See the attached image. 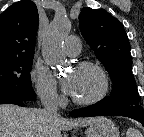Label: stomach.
I'll return each instance as SVG.
<instances>
[{
	"label": "stomach",
	"mask_w": 144,
	"mask_h": 137,
	"mask_svg": "<svg viewBox=\"0 0 144 137\" xmlns=\"http://www.w3.org/2000/svg\"><path fill=\"white\" fill-rule=\"evenodd\" d=\"M86 137H120L119 129L107 118L100 117L85 130Z\"/></svg>",
	"instance_id": "obj_1"
}]
</instances>
